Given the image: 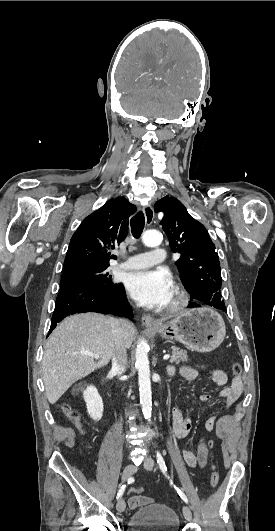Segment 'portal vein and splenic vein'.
Segmentation results:
<instances>
[{
	"label": "portal vein and splenic vein",
	"mask_w": 275,
	"mask_h": 531,
	"mask_svg": "<svg viewBox=\"0 0 275 531\" xmlns=\"http://www.w3.org/2000/svg\"><path fill=\"white\" fill-rule=\"evenodd\" d=\"M82 355H85V357H94V359H100V355L98 353H82ZM170 355H164L163 359H169Z\"/></svg>",
	"instance_id": "1"
}]
</instances>
